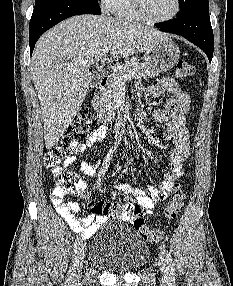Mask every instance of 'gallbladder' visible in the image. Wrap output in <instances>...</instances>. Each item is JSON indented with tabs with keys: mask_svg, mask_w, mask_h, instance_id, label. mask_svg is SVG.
<instances>
[{
	"mask_svg": "<svg viewBox=\"0 0 233 286\" xmlns=\"http://www.w3.org/2000/svg\"><path fill=\"white\" fill-rule=\"evenodd\" d=\"M99 81H100V77L97 76L96 74H93L91 86H97L99 84Z\"/></svg>",
	"mask_w": 233,
	"mask_h": 286,
	"instance_id": "gallbladder-1",
	"label": "gallbladder"
}]
</instances>
